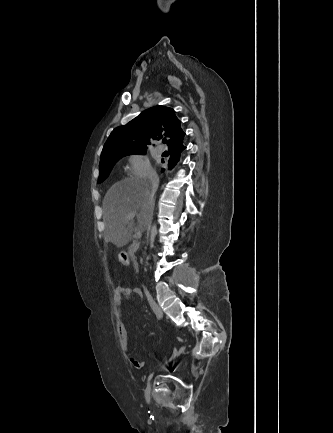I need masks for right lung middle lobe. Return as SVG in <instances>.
Instances as JSON below:
<instances>
[{
  "mask_svg": "<svg viewBox=\"0 0 333 433\" xmlns=\"http://www.w3.org/2000/svg\"><path fill=\"white\" fill-rule=\"evenodd\" d=\"M145 153H146V150L131 151V152H127V153L113 154V155L108 156L105 159L100 160L98 183H101L102 181H104L108 177L113 166L122 157L127 156V155H131V154H145Z\"/></svg>",
  "mask_w": 333,
  "mask_h": 433,
  "instance_id": "1",
  "label": "right lung middle lobe"
}]
</instances>
